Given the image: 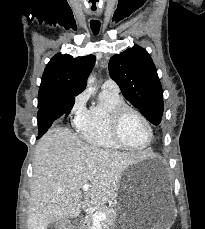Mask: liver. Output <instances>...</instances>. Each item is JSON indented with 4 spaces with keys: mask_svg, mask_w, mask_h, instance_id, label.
<instances>
[{
    "mask_svg": "<svg viewBox=\"0 0 205 229\" xmlns=\"http://www.w3.org/2000/svg\"><path fill=\"white\" fill-rule=\"evenodd\" d=\"M139 159L86 144L66 127L51 128L34 152L28 229H46L54 221L79 216L82 206L116 198L124 171ZM89 182L82 201L81 188Z\"/></svg>",
    "mask_w": 205,
    "mask_h": 229,
    "instance_id": "obj_1",
    "label": "liver"
}]
</instances>
